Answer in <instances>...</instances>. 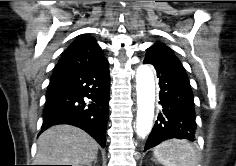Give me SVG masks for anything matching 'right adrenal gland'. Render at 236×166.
<instances>
[{"label": "right adrenal gland", "instance_id": "obj_1", "mask_svg": "<svg viewBox=\"0 0 236 166\" xmlns=\"http://www.w3.org/2000/svg\"><path fill=\"white\" fill-rule=\"evenodd\" d=\"M97 162V159H95V161H94V164ZM88 166H92L91 164L90 165H88Z\"/></svg>", "mask_w": 236, "mask_h": 166}]
</instances>
